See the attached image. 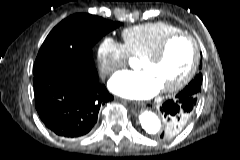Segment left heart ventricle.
Here are the masks:
<instances>
[{"mask_svg":"<svg viewBox=\"0 0 240 160\" xmlns=\"http://www.w3.org/2000/svg\"><path fill=\"white\" fill-rule=\"evenodd\" d=\"M193 52L190 43L183 38L172 41L161 60L140 61L139 67L157 80L160 88L177 83L188 71Z\"/></svg>","mask_w":240,"mask_h":160,"instance_id":"left-heart-ventricle-1","label":"left heart ventricle"}]
</instances>
